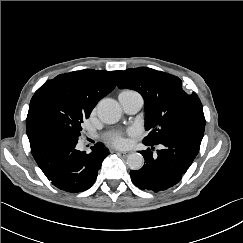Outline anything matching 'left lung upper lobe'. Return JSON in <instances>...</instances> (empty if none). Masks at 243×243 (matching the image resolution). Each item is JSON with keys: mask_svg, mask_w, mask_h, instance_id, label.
<instances>
[{"mask_svg": "<svg viewBox=\"0 0 243 243\" xmlns=\"http://www.w3.org/2000/svg\"><path fill=\"white\" fill-rule=\"evenodd\" d=\"M118 87L135 90L144 99L149 134L143 143L155 145L184 123L205 121L197 94H187L176 76L148 67L126 69Z\"/></svg>", "mask_w": 243, "mask_h": 243, "instance_id": "obj_1", "label": "left lung upper lobe"}]
</instances>
